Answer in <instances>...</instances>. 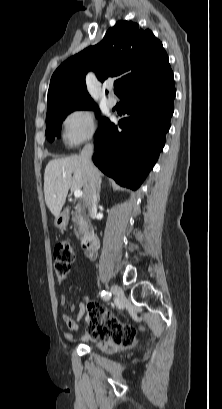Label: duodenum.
<instances>
[{"label": "duodenum", "mask_w": 222, "mask_h": 409, "mask_svg": "<svg viewBox=\"0 0 222 409\" xmlns=\"http://www.w3.org/2000/svg\"><path fill=\"white\" fill-rule=\"evenodd\" d=\"M83 248L87 254H93L100 245L99 238L95 233H89L83 237Z\"/></svg>", "instance_id": "1"}]
</instances>
